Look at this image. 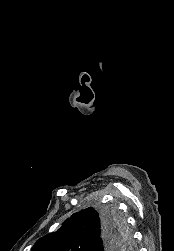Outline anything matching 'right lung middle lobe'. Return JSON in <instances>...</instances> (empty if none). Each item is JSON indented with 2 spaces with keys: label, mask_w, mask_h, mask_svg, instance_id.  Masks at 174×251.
Instances as JSON below:
<instances>
[{
  "label": "right lung middle lobe",
  "mask_w": 174,
  "mask_h": 251,
  "mask_svg": "<svg viewBox=\"0 0 174 251\" xmlns=\"http://www.w3.org/2000/svg\"><path fill=\"white\" fill-rule=\"evenodd\" d=\"M102 215L106 220L109 222L117 225L118 230L120 231L121 235L124 237V243L122 245L121 250L126 249L128 250L132 243L130 239L129 232L125 226L124 219L119 215L115 208H104L102 211Z\"/></svg>",
  "instance_id": "right-lung-middle-lobe-1"
}]
</instances>
